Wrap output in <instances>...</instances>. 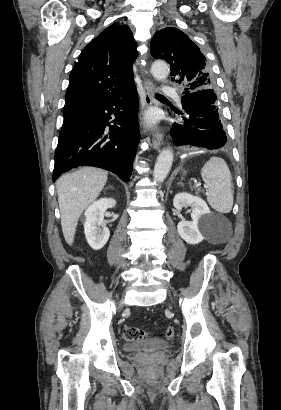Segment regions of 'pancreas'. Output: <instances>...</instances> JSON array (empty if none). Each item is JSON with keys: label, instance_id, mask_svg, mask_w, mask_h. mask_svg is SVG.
<instances>
[{"label": "pancreas", "instance_id": "1", "mask_svg": "<svg viewBox=\"0 0 281 410\" xmlns=\"http://www.w3.org/2000/svg\"><path fill=\"white\" fill-rule=\"evenodd\" d=\"M195 192H196V194H199L201 192V189L200 188H195Z\"/></svg>", "mask_w": 281, "mask_h": 410}]
</instances>
